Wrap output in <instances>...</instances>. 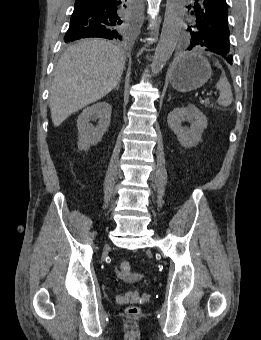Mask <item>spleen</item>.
Masks as SVG:
<instances>
[{
  "instance_id": "3e777b00",
  "label": "spleen",
  "mask_w": 261,
  "mask_h": 340,
  "mask_svg": "<svg viewBox=\"0 0 261 340\" xmlns=\"http://www.w3.org/2000/svg\"><path fill=\"white\" fill-rule=\"evenodd\" d=\"M216 88L220 91V95L217 100L218 105L222 107L229 106L233 102V95L231 85L225 75L220 77L219 81L216 83Z\"/></svg>"
}]
</instances>
